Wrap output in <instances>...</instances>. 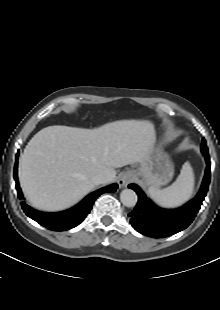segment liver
I'll return each mask as SVG.
<instances>
[{
	"mask_svg": "<svg viewBox=\"0 0 220 310\" xmlns=\"http://www.w3.org/2000/svg\"><path fill=\"white\" fill-rule=\"evenodd\" d=\"M154 142L155 128L148 120H119L95 129L43 128L24 149L21 188L37 209H66L94 188V175L114 181L115 168L142 162Z\"/></svg>",
	"mask_w": 220,
	"mask_h": 310,
	"instance_id": "liver-1",
	"label": "liver"
}]
</instances>
